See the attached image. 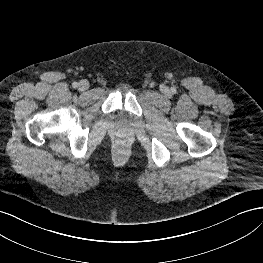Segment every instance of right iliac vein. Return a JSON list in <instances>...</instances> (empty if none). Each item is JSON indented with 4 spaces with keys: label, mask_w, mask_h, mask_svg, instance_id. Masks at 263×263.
Wrapping results in <instances>:
<instances>
[{
    "label": "right iliac vein",
    "mask_w": 263,
    "mask_h": 263,
    "mask_svg": "<svg viewBox=\"0 0 263 263\" xmlns=\"http://www.w3.org/2000/svg\"><path fill=\"white\" fill-rule=\"evenodd\" d=\"M80 91H85L89 88V82L87 80H81L78 84Z\"/></svg>",
    "instance_id": "63e3f726"
}]
</instances>
